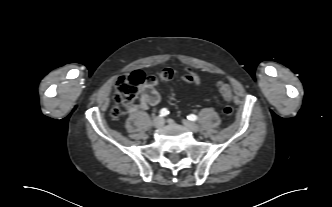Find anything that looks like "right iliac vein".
I'll list each match as a JSON object with an SVG mask.
<instances>
[{
    "mask_svg": "<svg viewBox=\"0 0 332 207\" xmlns=\"http://www.w3.org/2000/svg\"><path fill=\"white\" fill-rule=\"evenodd\" d=\"M163 125H164V119L162 117L158 116L153 120V126L155 128H160Z\"/></svg>",
    "mask_w": 332,
    "mask_h": 207,
    "instance_id": "1",
    "label": "right iliac vein"
}]
</instances>
